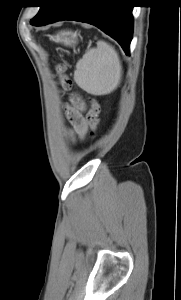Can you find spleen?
<instances>
[{"label":"spleen","instance_id":"obj_1","mask_svg":"<svg viewBox=\"0 0 181 300\" xmlns=\"http://www.w3.org/2000/svg\"><path fill=\"white\" fill-rule=\"evenodd\" d=\"M122 66L115 51L107 42L100 40L97 47L87 51L76 63L74 80L77 85L92 95H106L120 84Z\"/></svg>","mask_w":181,"mask_h":300}]
</instances>
